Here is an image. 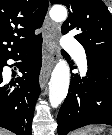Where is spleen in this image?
<instances>
[{
	"mask_svg": "<svg viewBox=\"0 0 112 135\" xmlns=\"http://www.w3.org/2000/svg\"><path fill=\"white\" fill-rule=\"evenodd\" d=\"M103 130H104V127H101V126L100 127H96V132L103 131ZM72 135H89V134L87 133V131L80 130V131L74 132Z\"/></svg>",
	"mask_w": 112,
	"mask_h": 135,
	"instance_id": "3e777b00",
	"label": "spleen"
}]
</instances>
